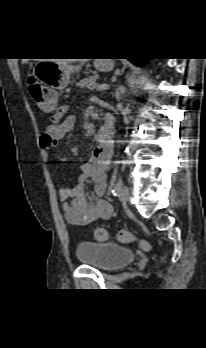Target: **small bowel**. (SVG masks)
<instances>
[{
	"label": "small bowel",
	"mask_w": 206,
	"mask_h": 348,
	"mask_svg": "<svg viewBox=\"0 0 206 348\" xmlns=\"http://www.w3.org/2000/svg\"><path fill=\"white\" fill-rule=\"evenodd\" d=\"M75 122V117L66 114V108H62L54 123L40 137V147L44 151L47 162L49 161L48 152L54 149L62 138L74 128ZM110 157V149L100 146L96 147L92 153L91 160L81 166L82 174L78 182L72 187H59L62 210L70 224L87 225L96 220H105L111 217V205L100 197L107 186ZM87 180L92 182L94 191L98 196L94 200L87 197L84 186Z\"/></svg>",
	"instance_id": "1"
}]
</instances>
